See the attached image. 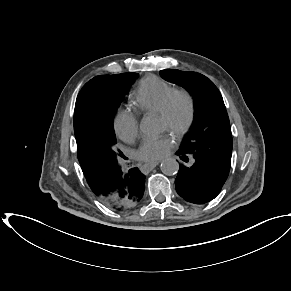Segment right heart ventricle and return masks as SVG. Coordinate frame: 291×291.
<instances>
[{
    "label": "right heart ventricle",
    "mask_w": 291,
    "mask_h": 291,
    "mask_svg": "<svg viewBox=\"0 0 291 291\" xmlns=\"http://www.w3.org/2000/svg\"><path fill=\"white\" fill-rule=\"evenodd\" d=\"M174 87L157 76L143 78L133 95L132 107L137 114L158 113Z\"/></svg>",
    "instance_id": "right-heart-ventricle-1"
}]
</instances>
